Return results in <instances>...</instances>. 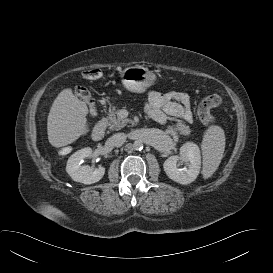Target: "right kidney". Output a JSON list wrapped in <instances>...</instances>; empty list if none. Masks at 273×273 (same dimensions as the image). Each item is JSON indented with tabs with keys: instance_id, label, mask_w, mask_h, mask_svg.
Masks as SVG:
<instances>
[{
	"instance_id": "1",
	"label": "right kidney",
	"mask_w": 273,
	"mask_h": 273,
	"mask_svg": "<svg viewBox=\"0 0 273 273\" xmlns=\"http://www.w3.org/2000/svg\"><path fill=\"white\" fill-rule=\"evenodd\" d=\"M92 156V149L90 147L83 148L72 154L66 165V171L70 177L76 181L86 185L98 182L105 173L104 167H99L93 170L88 165H81L86 158Z\"/></svg>"
}]
</instances>
